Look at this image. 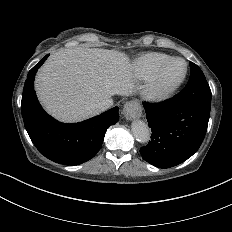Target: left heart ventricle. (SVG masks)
Returning <instances> with one entry per match:
<instances>
[{
	"label": "left heart ventricle",
	"instance_id": "obj_1",
	"mask_svg": "<svg viewBox=\"0 0 232 232\" xmlns=\"http://www.w3.org/2000/svg\"><path fill=\"white\" fill-rule=\"evenodd\" d=\"M185 71V64L182 61L174 63L162 77V84H169L178 80Z\"/></svg>",
	"mask_w": 232,
	"mask_h": 232
}]
</instances>
